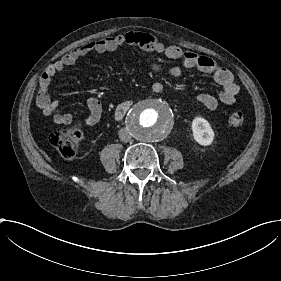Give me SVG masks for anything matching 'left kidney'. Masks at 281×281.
Returning <instances> with one entry per match:
<instances>
[{
  "label": "left kidney",
  "mask_w": 281,
  "mask_h": 281,
  "mask_svg": "<svg viewBox=\"0 0 281 281\" xmlns=\"http://www.w3.org/2000/svg\"><path fill=\"white\" fill-rule=\"evenodd\" d=\"M192 135L200 146H211L214 143L215 132L210 123L203 117L197 116L191 122Z\"/></svg>",
  "instance_id": "left-kidney-1"
}]
</instances>
